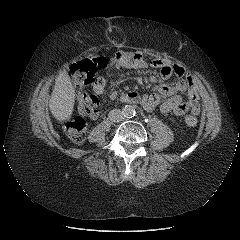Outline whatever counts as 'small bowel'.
<instances>
[{
    "instance_id": "1",
    "label": "small bowel",
    "mask_w": 240,
    "mask_h": 240,
    "mask_svg": "<svg viewBox=\"0 0 240 240\" xmlns=\"http://www.w3.org/2000/svg\"><path fill=\"white\" fill-rule=\"evenodd\" d=\"M109 65L115 68H126L135 70H145L153 68L158 70L162 79L166 80L171 76L178 77L175 85L161 84L158 92L150 95L140 96V104L147 111L159 109L162 113H173L176 116H183L190 113L197 116L200 112L199 93L195 79L186 72L179 64L171 63L164 59L147 61L142 52L119 51L109 60ZM106 80L98 77L93 83V91L100 95L104 92ZM186 92V96L180 93ZM168 97L163 101L162 97ZM119 97L117 91L109 94V100L113 101ZM101 115V110H96L90 115L92 119H97Z\"/></svg>"
}]
</instances>
